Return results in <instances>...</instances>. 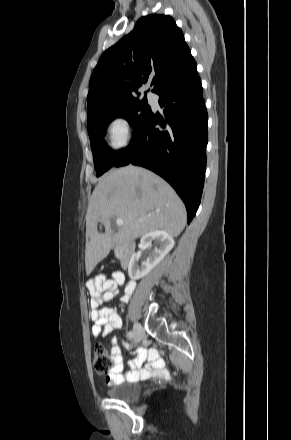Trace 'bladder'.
I'll use <instances>...</instances> for the list:
<instances>
[{
	"label": "bladder",
	"mask_w": 291,
	"mask_h": 440,
	"mask_svg": "<svg viewBox=\"0 0 291 440\" xmlns=\"http://www.w3.org/2000/svg\"><path fill=\"white\" fill-rule=\"evenodd\" d=\"M106 394L121 402H132L140 396V388L137 382H126L109 388Z\"/></svg>",
	"instance_id": "1"
}]
</instances>
